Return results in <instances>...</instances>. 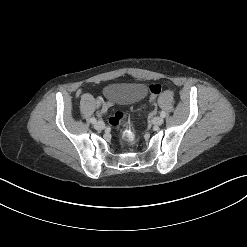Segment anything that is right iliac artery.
Wrapping results in <instances>:
<instances>
[{"instance_id":"right-iliac-artery-1","label":"right iliac artery","mask_w":247,"mask_h":247,"mask_svg":"<svg viewBox=\"0 0 247 247\" xmlns=\"http://www.w3.org/2000/svg\"><path fill=\"white\" fill-rule=\"evenodd\" d=\"M90 122H91L92 124H95V123L97 122V120H96V118L93 117V118L90 119Z\"/></svg>"}]
</instances>
